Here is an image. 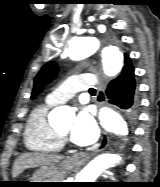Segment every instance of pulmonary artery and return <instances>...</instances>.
Wrapping results in <instances>:
<instances>
[{
	"label": "pulmonary artery",
	"instance_id": "1",
	"mask_svg": "<svg viewBox=\"0 0 160 187\" xmlns=\"http://www.w3.org/2000/svg\"><path fill=\"white\" fill-rule=\"evenodd\" d=\"M98 83L93 75L75 74L64 81L46 97V102L57 105L67 102L80 91H86Z\"/></svg>",
	"mask_w": 160,
	"mask_h": 187
}]
</instances>
